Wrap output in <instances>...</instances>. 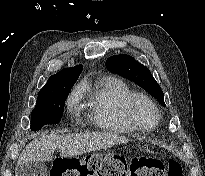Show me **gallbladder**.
Wrapping results in <instances>:
<instances>
[{
    "mask_svg": "<svg viewBox=\"0 0 205 176\" xmlns=\"http://www.w3.org/2000/svg\"><path fill=\"white\" fill-rule=\"evenodd\" d=\"M47 167L41 162H28L18 165L16 176H47Z\"/></svg>",
    "mask_w": 205,
    "mask_h": 176,
    "instance_id": "obj_1",
    "label": "gallbladder"
}]
</instances>
